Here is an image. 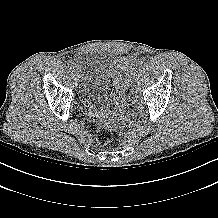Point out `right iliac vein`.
Returning <instances> with one entry per match:
<instances>
[{
    "label": "right iliac vein",
    "mask_w": 218,
    "mask_h": 218,
    "mask_svg": "<svg viewBox=\"0 0 218 218\" xmlns=\"http://www.w3.org/2000/svg\"><path fill=\"white\" fill-rule=\"evenodd\" d=\"M73 72H74V75H75V77H76V79H77V78L79 77V74L77 73V70L74 69Z\"/></svg>",
    "instance_id": "right-iliac-vein-1"
}]
</instances>
